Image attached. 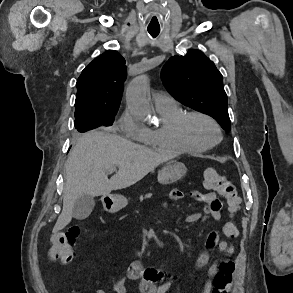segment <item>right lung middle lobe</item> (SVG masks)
<instances>
[{
	"mask_svg": "<svg viewBox=\"0 0 293 293\" xmlns=\"http://www.w3.org/2000/svg\"><path fill=\"white\" fill-rule=\"evenodd\" d=\"M116 111L111 113L78 112L75 111V128L79 132H86L99 126H111Z\"/></svg>",
	"mask_w": 293,
	"mask_h": 293,
	"instance_id": "right-lung-middle-lobe-1",
	"label": "right lung middle lobe"
}]
</instances>
